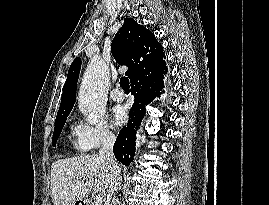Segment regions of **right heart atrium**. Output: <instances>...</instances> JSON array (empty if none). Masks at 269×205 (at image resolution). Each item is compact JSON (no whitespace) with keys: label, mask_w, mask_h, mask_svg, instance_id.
I'll return each instance as SVG.
<instances>
[{"label":"right heart atrium","mask_w":269,"mask_h":205,"mask_svg":"<svg viewBox=\"0 0 269 205\" xmlns=\"http://www.w3.org/2000/svg\"><path fill=\"white\" fill-rule=\"evenodd\" d=\"M74 135L78 146L90 151L111 144L115 140V134L105 120L96 125L77 122L74 126Z\"/></svg>","instance_id":"obj_1"}]
</instances>
